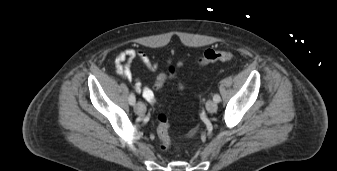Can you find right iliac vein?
I'll list each match as a JSON object with an SVG mask.
<instances>
[{
    "instance_id": "right-iliac-vein-1",
    "label": "right iliac vein",
    "mask_w": 337,
    "mask_h": 171,
    "mask_svg": "<svg viewBox=\"0 0 337 171\" xmlns=\"http://www.w3.org/2000/svg\"><path fill=\"white\" fill-rule=\"evenodd\" d=\"M135 113L144 115L146 113V106L142 102H138L134 105Z\"/></svg>"
}]
</instances>
